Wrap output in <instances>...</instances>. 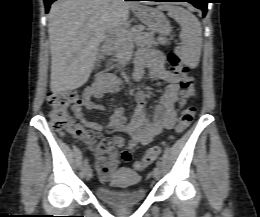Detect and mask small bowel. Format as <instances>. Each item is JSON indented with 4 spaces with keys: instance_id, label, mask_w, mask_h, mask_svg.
Instances as JSON below:
<instances>
[{
    "instance_id": "small-bowel-1",
    "label": "small bowel",
    "mask_w": 260,
    "mask_h": 217,
    "mask_svg": "<svg viewBox=\"0 0 260 217\" xmlns=\"http://www.w3.org/2000/svg\"><path fill=\"white\" fill-rule=\"evenodd\" d=\"M165 62L164 54L158 50L143 49L136 56V67L132 75L133 80H140L145 70H148L152 79L163 81L167 84L160 102L155 106L150 116H147L145 113L144 106L147 101V95L143 91L136 92L138 106L130 120H127L125 117V109L123 107L117 106L113 110L108 130L128 134L131 137L128 143L129 150L149 144L164 129H172L176 123L177 112L185 104L187 98L181 99L179 97L180 78L166 69ZM104 76L109 82L105 86H101L102 80L99 78L94 85L86 90V101L82 105L72 108L76 118L86 127L93 130H101L103 126L97 122L87 121L83 108L103 111L104 106L96 103L94 99L113 91L119 83L118 78L113 75ZM191 90L194 94V86ZM113 142L118 148L124 146V140L120 136H115ZM108 158L110 160L109 168L111 172L115 170L119 158L124 161L130 160L122 158L121 154L115 153L109 155ZM102 177L107 178L105 176Z\"/></svg>"
}]
</instances>
